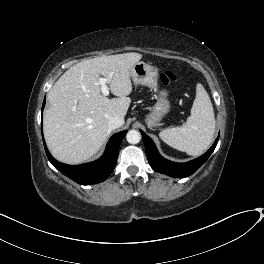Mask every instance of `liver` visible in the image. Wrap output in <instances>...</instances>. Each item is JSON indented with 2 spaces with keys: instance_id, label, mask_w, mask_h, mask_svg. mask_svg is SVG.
Here are the masks:
<instances>
[{
  "instance_id": "1",
  "label": "liver",
  "mask_w": 264,
  "mask_h": 264,
  "mask_svg": "<svg viewBox=\"0 0 264 264\" xmlns=\"http://www.w3.org/2000/svg\"><path fill=\"white\" fill-rule=\"evenodd\" d=\"M141 58L130 52L82 60L56 81L43 117L45 141L55 159L74 165L100 150L111 132L109 119L118 116L124 120L131 103L130 71ZM100 75L108 79L117 98L101 94Z\"/></svg>"
}]
</instances>
